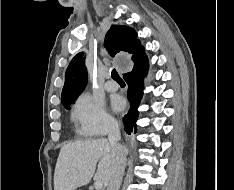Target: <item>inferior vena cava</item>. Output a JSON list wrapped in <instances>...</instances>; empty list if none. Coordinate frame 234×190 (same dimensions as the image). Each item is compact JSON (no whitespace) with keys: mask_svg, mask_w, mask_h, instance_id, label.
<instances>
[{"mask_svg":"<svg viewBox=\"0 0 234 190\" xmlns=\"http://www.w3.org/2000/svg\"><path fill=\"white\" fill-rule=\"evenodd\" d=\"M121 139L120 129L117 122H112L108 128V141L111 146L113 166L111 177L106 190H119L125 169V151L119 144Z\"/></svg>","mask_w":234,"mask_h":190,"instance_id":"inferior-vena-cava-1","label":"inferior vena cava"}]
</instances>
